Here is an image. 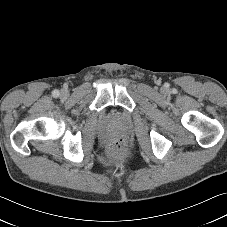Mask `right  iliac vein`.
Returning <instances> with one entry per match:
<instances>
[{"label": "right iliac vein", "mask_w": 227, "mask_h": 227, "mask_svg": "<svg viewBox=\"0 0 227 227\" xmlns=\"http://www.w3.org/2000/svg\"><path fill=\"white\" fill-rule=\"evenodd\" d=\"M62 94H63V95H66V92L64 91V92H62Z\"/></svg>", "instance_id": "obj_1"}]
</instances>
